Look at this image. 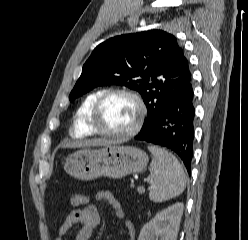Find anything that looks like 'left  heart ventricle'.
I'll use <instances>...</instances> for the list:
<instances>
[{
	"mask_svg": "<svg viewBox=\"0 0 248 240\" xmlns=\"http://www.w3.org/2000/svg\"><path fill=\"white\" fill-rule=\"evenodd\" d=\"M138 110L135 102L125 95L108 98L100 112L99 126L106 131L124 132L135 123Z\"/></svg>",
	"mask_w": 248,
	"mask_h": 240,
	"instance_id": "left-heart-ventricle-1",
	"label": "left heart ventricle"
}]
</instances>
